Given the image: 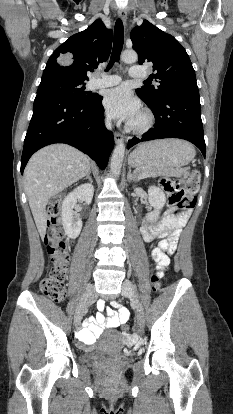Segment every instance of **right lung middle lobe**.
I'll list each match as a JSON object with an SVG mask.
<instances>
[{"mask_svg": "<svg viewBox=\"0 0 233 414\" xmlns=\"http://www.w3.org/2000/svg\"><path fill=\"white\" fill-rule=\"evenodd\" d=\"M84 89L85 83L83 81L60 76H47L42 77L37 95L53 94L75 101H89L96 97V94L86 92Z\"/></svg>", "mask_w": 233, "mask_h": 414, "instance_id": "obj_1", "label": "right lung middle lobe"}]
</instances>
